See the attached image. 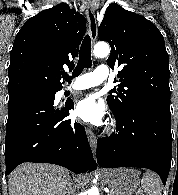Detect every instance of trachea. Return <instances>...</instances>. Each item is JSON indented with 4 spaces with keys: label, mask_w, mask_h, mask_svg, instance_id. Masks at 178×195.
Listing matches in <instances>:
<instances>
[{
    "label": "trachea",
    "mask_w": 178,
    "mask_h": 195,
    "mask_svg": "<svg viewBox=\"0 0 178 195\" xmlns=\"http://www.w3.org/2000/svg\"><path fill=\"white\" fill-rule=\"evenodd\" d=\"M92 60H91V38L89 35H86L83 39L80 52H79V60L77 66L73 70L72 76L68 74H64L63 78L71 82V80L77 76H79L84 68H91Z\"/></svg>",
    "instance_id": "1"
}]
</instances>
